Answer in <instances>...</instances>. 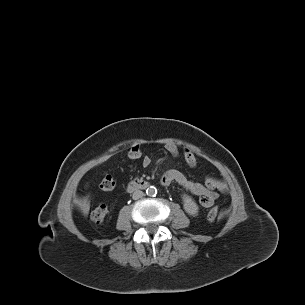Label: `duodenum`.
I'll use <instances>...</instances> for the list:
<instances>
[{
	"label": "duodenum",
	"instance_id": "1",
	"mask_svg": "<svg viewBox=\"0 0 305 305\" xmlns=\"http://www.w3.org/2000/svg\"><path fill=\"white\" fill-rule=\"evenodd\" d=\"M149 186V182L145 179H134L127 185V191L133 192L137 190L146 189Z\"/></svg>",
	"mask_w": 305,
	"mask_h": 305
}]
</instances>
